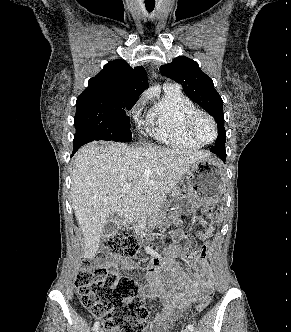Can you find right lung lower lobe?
<instances>
[{
  "label": "right lung lower lobe",
  "instance_id": "right-lung-lower-lobe-1",
  "mask_svg": "<svg viewBox=\"0 0 291 332\" xmlns=\"http://www.w3.org/2000/svg\"><path fill=\"white\" fill-rule=\"evenodd\" d=\"M78 148L74 147V153L77 151Z\"/></svg>",
  "mask_w": 291,
  "mask_h": 332
}]
</instances>
